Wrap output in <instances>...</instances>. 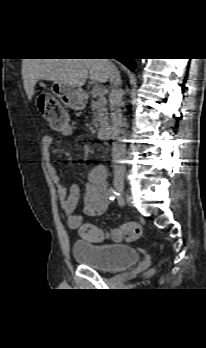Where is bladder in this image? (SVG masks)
Here are the masks:
<instances>
[{
	"mask_svg": "<svg viewBox=\"0 0 206 348\" xmlns=\"http://www.w3.org/2000/svg\"><path fill=\"white\" fill-rule=\"evenodd\" d=\"M72 254L79 265L104 272L120 270L139 260V253L135 248L120 243L95 244L75 241Z\"/></svg>",
	"mask_w": 206,
	"mask_h": 348,
	"instance_id": "bladder-1",
	"label": "bladder"
}]
</instances>
